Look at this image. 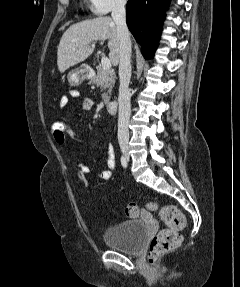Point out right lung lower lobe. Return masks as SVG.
<instances>
[{
	"instance_id": "98d812e1",
	"label": "right lung lower lobe",
	"mask_w": 240,
	"mask_h": 287,
	"mask_svg": "<svg viewBox=\"0 0 240 287\" xmlns=\"http://www.w3.org/2000/svg\"><path fill=\"white\" fill-rule=\"evenodd\" d=\"M170 0H128L126 22L145 58H152Z\"/></svg>"
}]
</instances>
